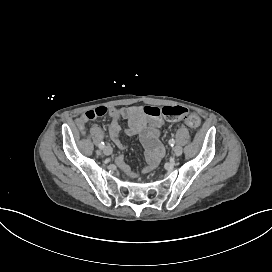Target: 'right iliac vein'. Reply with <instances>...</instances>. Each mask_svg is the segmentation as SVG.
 I'll return each instance as SVG.
<instances>
[{
    "label": "right iliac vein",
    "mask_w": 272,
    "mask_h": 272,
    "mask_svg": "<svg viewBox=\"0 0 272 272\" xmlns=\"http://www.w3.org/2000/svg\"><path fill=\"white\" fill-rule=\"evenodd\" d=\"M103 152L105 155H110V154H112L113 150L110 146H106V147H104Z\"/></svg>",
    "instance_id": "63e3f726"
}]
</instances>
